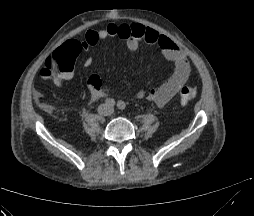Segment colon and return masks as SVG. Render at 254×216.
<instances>
[{"label": "colon", "mask_w": 254, "mask_h": 216, "mask_svg": "<svg viewBox=\"0 0 254 216\" xmlns=\"http://www.w3.org/2000/svg\"><path fill=\"white\" fill-rule=\"evenodd\" d=\"M83 50L79 42L75 43L71 51L59 49L55 57L46 60L40 73L43 77H49L54 73H64L73 69L72 56L77 55ZM196 95V89L193 85L182 86L179 90V100L182 104L190 102Z\"/></svg>", "instance_id": "5ec220e1"}]
</instances>
